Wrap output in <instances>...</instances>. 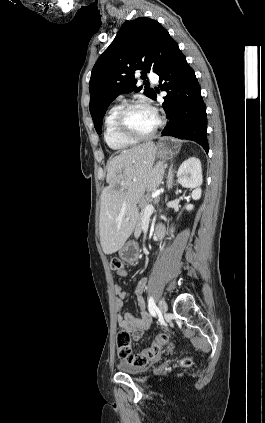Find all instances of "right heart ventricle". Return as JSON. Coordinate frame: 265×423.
Returning <instances> with one entry per match:
<instances>
[{"instance_id": "e07e8e85", "label": "right heart ventricle", "mask_w": 265, "mask_h": 423, "mask_svg": "<svg viewBox=\"0 0 265 423\" xmlns=\"http://www.w3.org/2000/svg\"><path fill=\"white\" fill-rule=\"evenodd\" d=\"M123 106V103L113 105L104 119V140L109 148L117 152L127 150L136 144V142L122 137L116 129V118Z\"/></svg>"}]
</instances>
